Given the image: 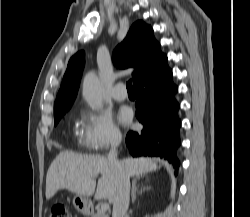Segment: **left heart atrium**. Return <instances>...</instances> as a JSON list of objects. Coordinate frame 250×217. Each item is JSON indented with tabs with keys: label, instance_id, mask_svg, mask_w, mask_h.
I'll use <instances>...</instances> for the list:
<instances>
[{
	"label": "left heart atrium",
	"instance_id": "obj_1",
	"mask_svg": "<svg viewBox=\"0 0 250 217\" xmlns=\"http://www.w3.org/2000/svg\"><path fill=\"white\" fill-rule=\"evenodd\" d=\"M119 119L122 123H128L131 120V113L128 110H123L119 114Z\"/></svg>",
	"mask_w": 250,
	"mask_h": 217
}]
</instances>
